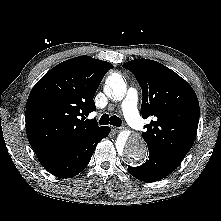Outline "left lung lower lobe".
<instances>
[{"instance_id":"left-lung-lower-lobe-1","label":"left lung lower lobe","mask_w":221,"mask_h":221,"mask_svg":"<svg viewBox=\"0 0 221 221\" xmlns=\"http://www.w3.org/2000/svg\"><path fill=\"white\" fill-rule=\"evenodd\" d=\"M148 149L149 160L141 166L128 167V172L141 181H158L173 172L182 161L162 150L153 147H148Z\"/></svg>"}]
</instances>
